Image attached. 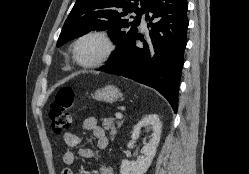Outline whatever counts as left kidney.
<instances>
[{
  "instance_id": "left-kidney-1",
  "label": "left kidney",
  "mask_w": 249,
  "mask_h": 174,
  "mask_svg": "<svg viewBox=\"0 0 249 174\" xmlns=\"http://www.w3.org/2000/svg\"><path fill=\"white\" fill-rule=\"evenodd\" d=\"M150 125L153 129L149 143L141 149L142 156L136 161L123 160L120 167L121 174H144L150 167L156 153L161 135L162 124L157 114H150L139 121L133 128L132 140H137L142 127Z\"/></svg>"
}]
</instances>
